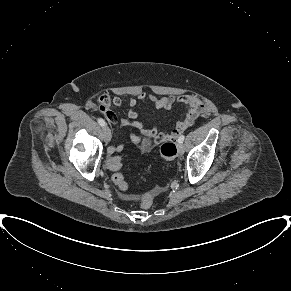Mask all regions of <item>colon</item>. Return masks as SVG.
Returning a JSON list of instances; mask_svg holds the SVG:
<instances>
[{
    "instance_id": "5ec220e1",
    "label": "colon",
    "mask_w": 291,
    "mask_h": 291,
    "mask_svg": "<svg viewBox=\"0 0 291 291\" xmlns=\"http://www.w3.org/2000/svg\"><path fill=\"white\" fill-rule=\"evenodd\" d=\"M160 155L166 161H172L177 155V148L173 141H166L160 147ZM108 169L112 172V180L121 191H126L128 184L121 173L122 160L119 156H111L107 162ZM154 203L153 192L144 193L140 197V206L149 209Z\"/></svg>"
}]
</instances>
